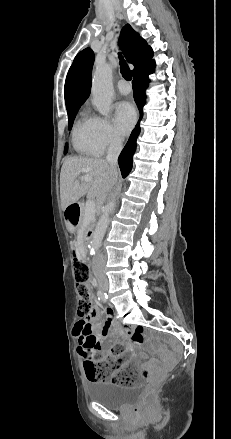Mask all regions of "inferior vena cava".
Here are the masks:
<instances>
[{"label": "inferior vena cava", "mask_w": 231, "mask_h": 439, "mask_svg": "<svg viewBox=\"0 0 231 439\" xmlns=\"http://www.w3.org/2000/svg\"><path fill=\"white\" fill-rule=\"evenodd\" d=\"M122 150V139L118 136H114L110 142L108 147V152L106 156V162L110 165L111 169L117 174V166H118V156ZM106 258L103 254H99L97 259L93 265V270L95 274L102 276L105 278L103 273V268L105 265Z\"/></svg>", "instance_id": "obj_1"}]
</instances>
